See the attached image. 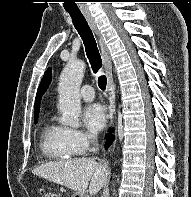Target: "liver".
Instances as JSON below:
<instances>
[{"instance_id": "obj_1", "label": "liver", "mask_w": 191, "mask_h": 197, "mask_svg": "<svg viewBox=\"0 0 191 197\" xmlns=\"http://www.w3.org/2000/svg\"><path fill=\"white\" fill-rule=\"evenodd\" d=\"M33 174L81 195L89 186L90 194L95 195L105 185L108 169L106 165L97 163L94 158H75L40 165L33 170Z\"/></svg>"}]
</instances>
